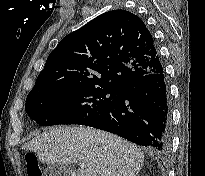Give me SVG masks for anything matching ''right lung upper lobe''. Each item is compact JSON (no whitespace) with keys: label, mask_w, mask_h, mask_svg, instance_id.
I'll return each mask as SVG.
<instances>
[{"label":"right lung upper lobe","mask_w":205,"mask_h":176,"mask_svg":"<svg viewBox=\"0 0 205 176\" xmlns=\"http://www.w3.org/2000/svg\"><path fill=\"white\" fill-rule=\"evenodd\" d=\"M163 68L144 22L126 10L106 12L65 36L30 94L65 87H112Z\"/></svg>","instance_id":"1"}]
</instances>
